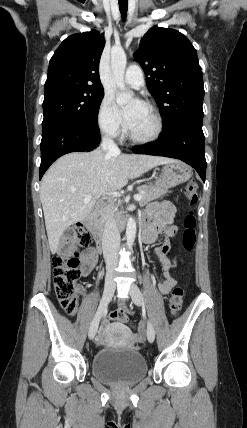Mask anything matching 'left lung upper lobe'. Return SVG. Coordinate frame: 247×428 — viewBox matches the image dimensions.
Segmentation results:
<instances>
[{"mask_svg": "<svg viewBox=\"0 0 247 428\" xmlns=\"http://www.w3.org/2000/svg\"><path fill=\"white\" fill-rule=\"evenodd\" d=\"M135 57L146 85L163 115L165 126L180 118H203L204 87L196 49L179 31L151 28Z\"/></svg>", "mask_w": 247, "mask_h": 428, "instance_id": "obj_1", "label": "left lung upper lobe"}]
</instances>
